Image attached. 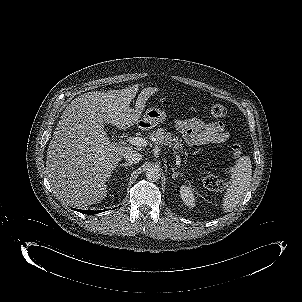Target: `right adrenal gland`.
Listing matches in <instances>:
<instances>
[{
    "label": "right adrenal gland",
    "mask_w": 302,
    "mask_h": 302,
    "mask_svg": "<svg viewBox=\"0 0 302 302\" xmlns=\"http://www.w3.org/2000/svg\"><path fill=\"white\" fill-rule=\"evenodd\" d=\"M131 165H132V164L129 163V162H124V163L119 164V166H121V167L125 166L126 168H127L128 166H131Z\"/></svg>",
    "instance_id": "obj_1"
}]
</instances>
